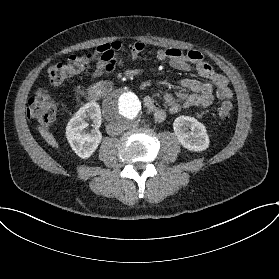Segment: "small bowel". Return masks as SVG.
<instances>
[{
  "mask_svg": "<svg viewBox=\"0 0 279 279\" xmlns=\"http://www.w3.org/2000/svg\"><path fill=\"white\" fill-rule=\"evenodd\" d=\"M122 44L119 41L99 45L91 58V78L100 80L117 68L125 66L121 56ZM145 51V45L137 42L130 46V56L137 59ZM155 58L158 61H169L172 67L188 71L195 66L197 73L205 79H182L178 82V88L171 92H163L162 97L166 109L158 106L155 100L146 96L143 99L145 108L152 114L156 121H163L167 114H177L184 108L203 109L219 99H228L232 96V90L225 76L217 73L204 61V57L198 50L183 52L179 48L170 47L156 51ZM154 85L150 79L141 82V88L147 89Z\"/></svg>",
  "mask_w": 279,
  "mask_h": 279,
  "instance_id": "small-bowel-1",
  "label": "small bowel"
}]
</instances>
